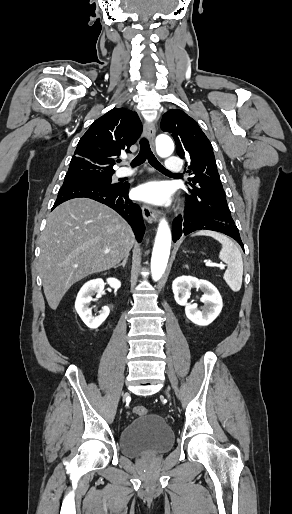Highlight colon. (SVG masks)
I'll return each instance as SVG.
<instances>
[{"mask_svg": "<svg viewBox=\"0 0 292 514\" xmlns=\"http://www.w3.org/2000/svg\"><path fill=\"white\" fill-rule=\"evenodd\" d=\"M133 412L135 415H137L139 417H145L148 414L147 408L142 405H135L133 407Z\"/></svg>", "mask_w": 292, "mask_h": 514, "instance_id": "5ec220e1", "label": "colon"}]
</instances>
